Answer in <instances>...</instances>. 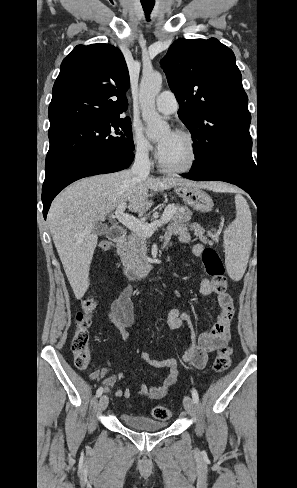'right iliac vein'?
Wrapping results in <instances>:
<instances>
[{"mask_svg":"<svg viewBox=\"0 0 297 488\" xmlns=\"http://www.w3.org/2000/svg\"><path fill=\"white\" fill-rule=\"evenodd\" d=\"M108 403H109V398L107 395H103L100 397V400H99V403H98V409L100 411H103L107 408L108 406Z\"/></svg>","mask_w":297,"mask_h":488,"instance_id":"obj_1","label":"right iliac vein"}]
</instances>
